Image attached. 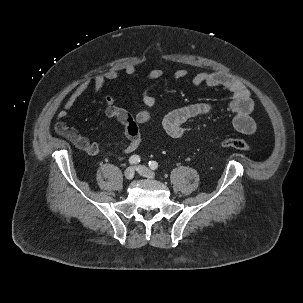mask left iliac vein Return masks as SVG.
Here are the masks:
<instances>
[{"label": "left iliac vein", "mask_w": 303, "mask_h": 303, "mask_svg": "<svg viewBox=\"0 0 303 303\" xmlns=\"http://www.w3.org/2000/svg\"><path fill=\"white\" fill-rule=\"evenodd\" d=\"M136 171L143 177H146L148 179H154L155 178V174L153 171H151L149 168H147L146 166L143 165H138L136 167Z\"/></svg>", "instance_id": "obj_1"}]
</instances>
